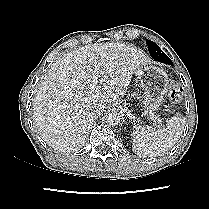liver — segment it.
<instances>
[{
	"label": "liver",
	"instance_id": "obj_1",
	"mask_svg": "<svg viewBox=\"0 0 209 209\" xmlns=\"http://www.w3.org/2000/svg\"><path fill=\"white\" fill-rule=\"evenodd\" d=\"M147 59L120 43H94L68 53L48 70L34 99L33 119L41 138L61 152L78 151L92 125L91 112L123 96L132 74ZM93 73L100 85L92 87Z\"/></svg>",
	"mask_w": 209,
	"mask_h": 209
}]
</instances>
